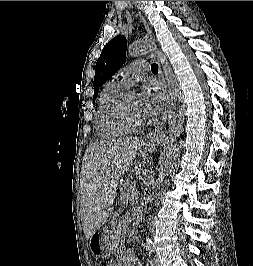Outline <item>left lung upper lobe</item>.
I'll return each instance as SVG.
<instances>
[{
	"instance_id": "1",
	"label": "left lung upper lobe",
	"mask_w": 253,
	"mask_h": 266,
	"mask_svg": "<svg viewBox=\"0 0 253 266\" xmlns=\"http://www.w3.org/2000/svg\"><path fill=\"white\" fill-rule=\"evenodd\" d=\"M127 40L123 35L113 38L102 50L96 63L94 77V95L97 97L101 87L114 73L118 71L126 60Z\"/></svg>"
}]
</instances>
